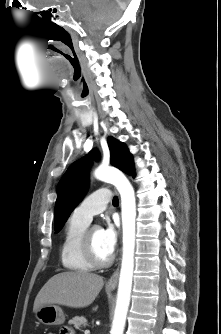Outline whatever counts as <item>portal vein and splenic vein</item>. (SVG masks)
<instances>
[{
    "label": "portal vein and splenic vein",
    "mask_w": 221,
    "mask_h": 334,
    "mask_svg": "<svg viewBox=\"0 0 221 334\" xmlns=\"http://www.w3.org/2000/svg\"><path fill=\"white\" fill-rule=\"evenodd\" d=\"M84 333H85V334H90V331H89V330H85Z\"/></svg>",
    "instance_id": "obj_1"
}]
</instances>
